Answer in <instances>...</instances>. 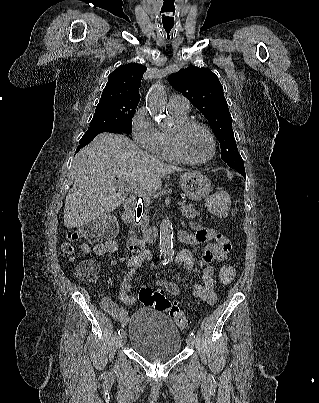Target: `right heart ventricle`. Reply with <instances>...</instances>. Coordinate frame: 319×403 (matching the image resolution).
I'll return each mask as SVG.
<instances>
[{
  "instance_id": "obj_1",
  "label": "right heart ventricle",
  "mask_w": 319,
  "mask_h": 403,
  "mask_svg": "<svg viewBox=\"0 0 319 403\" xmlns=\"http://www.w3.org/2000/svg\"><path fill=\"white\" fill-rule=\"evenodd\" d=\"M170 113L174 119L175 124L178 122H182L188 119V112H180L177 110L169 109ZM157 155L167 161L171 162H179L180 160L177 158L175 153L173 152L171 140H170V131L168 130H160L159 131V146Z\"/></svg>"
}]
</instances>
